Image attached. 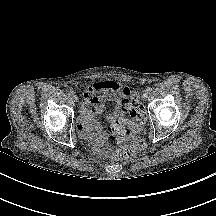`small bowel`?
Wrapping results in <instances>:
<instances>
[{"instance_id":"obj_1","label":"small bowel","mask_w":216,"mask_h":216,"mask_svg":"<svg viewBox=\"0 0 216 216\" xmlns=\"http://www.w3.org/2000/svg\"><path fill=\"white\" fill-rule=\"evenodd\" d=\"M129 96V87L114 81L98 82L89 86L83 95L78 117V131L81 136L96 146H102L106 136L95 117L104 111L103 101L116 102L115 110L108 116V120L112 122L125 115Z\"/></svg>"}]
</instances>
